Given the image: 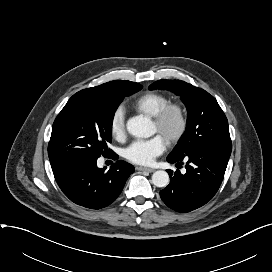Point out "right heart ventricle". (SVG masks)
<instances>
[{
    "label": "right heart ventricle",
    "mask_w": 272,
    "mask_h": 272,
    "mask_svg": "<svg viewBox=\"0 0 272 272\" xmlns=\"http://www.w3.org/2000/svg\"><path fill=\"white\" fill-rule=\"evenodd\" d=\"M167 103H169L168 96L160 92L149 91L137 97L132 107L141 114L153 117Z\"/></svg>",
    "instance_id": "right-heart-ventricle-1"
}]
</instances>
